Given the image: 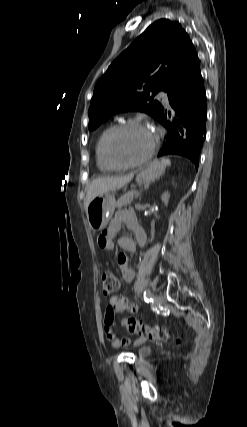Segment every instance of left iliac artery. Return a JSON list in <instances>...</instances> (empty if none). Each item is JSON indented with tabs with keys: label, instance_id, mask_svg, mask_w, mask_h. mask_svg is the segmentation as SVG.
<instances>
[{
	"label": "left iliac artery",
	"instance_id": "44dca946",
	"mask_svg": "<svg viewBox=\"0 0 247 427\" xmlns=\"http://www.w3.org/2000/svg\"><path fill=\"white\" fill-rule=\"evenodd\" d=\"M143 296H144V300H145V302L149 303V302H152V301H153L152 293H151L149 290L145 291V292L143 293Z\"/></svg>",
	"mask_w": 247,
	"mask_h": 427
}]
</instances>
